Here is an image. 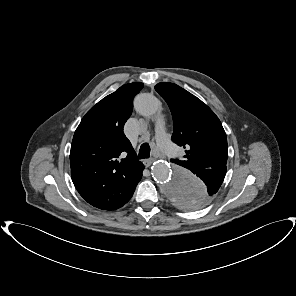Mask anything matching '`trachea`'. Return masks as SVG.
<instances>
[{"instance_id": "1", "label": "trachea", "mask_w": 296, "mask_h": 296, "mask_svg": "<svg viewBox=\"0 0 296 296\" xmlns=\"http://www.w3.org/2000/svg\"><path fill=\"white\" fill-rule=\"evenodd\" d=\"M139 159H145L150 157V146L148 143H143L139 149Z\"/></svg>"}]
</instances>
